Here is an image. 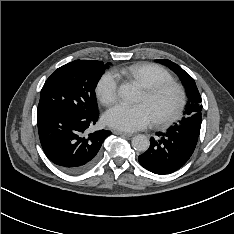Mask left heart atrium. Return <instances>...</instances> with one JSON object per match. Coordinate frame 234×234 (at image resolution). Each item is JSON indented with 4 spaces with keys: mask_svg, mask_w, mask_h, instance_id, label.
<instances>
[{
    "mask_svg": "<svg viewBox=\"0 0 234 234\" xmlns=\"http://www.w3.org/2000/svg\"><path fill=\"white\" fill-rule=\"evenodd\" d=\"M153 120L150 110L143 103L135 106L120 103L104 114V122L108 126L126 132L146 128Z\"/></svg>",
    "mask_w": 234,
    "mask_h": 234,
    "instance_id": "left-heart-atrium-1",
    "label": "left heart atrium"
}]
</instances>
